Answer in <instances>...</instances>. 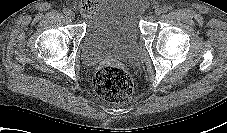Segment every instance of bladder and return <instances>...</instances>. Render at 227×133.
Instances as JSON below:
<instances>
[{
	"label": "bladder",
	"instance_id": "31cf9c89",
	"mask_svg": "<svg viewBox=\"0 0 227 133\" xmlns=\"http://www.w3.org/2000/svg\"><path fill=\"white\" fill-rule=\"evenodd\" d=\"M143 0H102L88 18L79 48L83 63L105 59L135 62L140 52Z\"/></svg>",
	"mask_w": 227,
	"mask_h": 133
}]
</instances>
